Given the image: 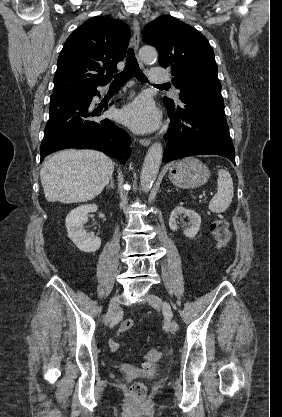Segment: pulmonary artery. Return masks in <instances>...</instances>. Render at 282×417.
Instances as JSON below:
<instances>
[{
  "mask_svg": "<svg viewBox=\"0 0 282 417\" xmlns=\"http://www.w3.org/2000/svg\"><path fill=\"white\" fill-rule=\"evenodd\" d=\"M151 73L152 74H149L148 76L149 83H170L171 81L170 74H163L164 73L163 65H152Z\"/></svg>",
  "mask_w": 282,
  "mask_h": 417,
  "instance_id": "obj_1",
  "label": "pulmonary artery"
}]
</instances>
